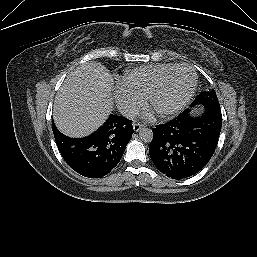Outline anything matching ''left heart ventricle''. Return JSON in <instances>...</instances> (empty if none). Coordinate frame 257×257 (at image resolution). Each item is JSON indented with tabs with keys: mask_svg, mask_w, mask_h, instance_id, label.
<instances>
[{
	"mask_svg": "<svg viewBox=\"0 0 257 257\" xmlns=\"http://www.w3.org/2000/svg\"><path fill=\"white\" fill-rule=\"evenodd\" d=\"M192 74L186 69H178L165 80L160 92L153 101V109L163 111L177 104L188 92Z\"/></svg>",
	"mask_w": 257,
	"mask_h": 257,
	"instance_id": "1",
	"label": "left heart ventricle"
}]
</instances>
